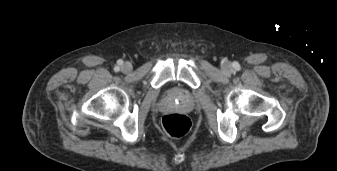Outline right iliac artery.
<instances>
[{"label": "right iliac artery", "mask_w": 337, "mask_h": 171, "mask_svg": "<svg viewBox=\"0 0 337 171\" xmlns=\"http://www.w3.org/2000/svg\"><path fill=\"white\" fill-rule=\"evenodd\" d=\"M115 71H119V67H115Z\"/></svg>", "instance_id": "82829eb1"}]
</instances>
